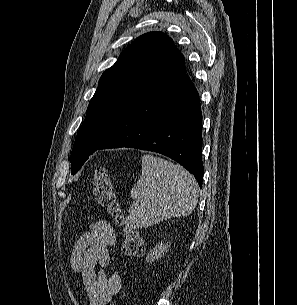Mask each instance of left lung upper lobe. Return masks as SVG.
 I'll list each match as a JSON object with an SVG mask.
<instances>
[{"instance_id":"5c2ea615","label":"left lung upper lobe","mask_w":297,"mask_h":305,"mask_svg":"<svg viewBox=\"0 0 297 305\" xmlns=\"http://www.w3.org/2000/svg\"><path fill=\"white\" fill-rule=\"evenodd\" d=\"M186 74L184 56L162 32L136 38L100 78L70 156L71 174L108 138L127 108L151 85Z\"/></svg>"}]
</instances>
